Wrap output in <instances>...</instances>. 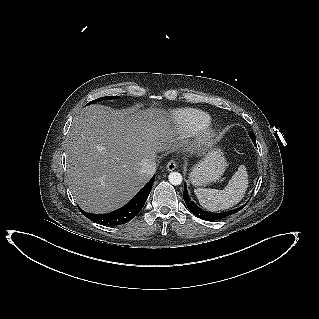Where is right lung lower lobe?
Segmentation results:
<instances>
[{
    "label": "right lung lower lobe",
    "mask_w": 319,
    "mask_h": 319,
    "mask_svg": "<svg viewBox=\"0 0 319 319\" xmlns=\"http://www.w3.org/2000/svg\"><path fill=\"white\" fill-rule=\"evenodd\" d=\"M154 183V177L138 192V194L124 207L107 214H90L81 210V212L90 220L102 225L116 226L129 222L143 208L151 187Z\"/></svg>",
    "instance_id": "98d812e1"
}]
</instances>
